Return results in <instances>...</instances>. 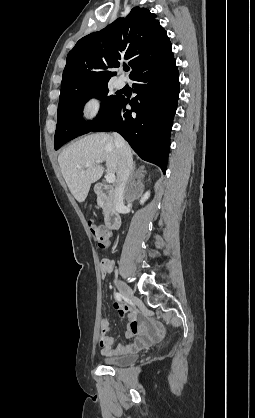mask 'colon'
I'll return each mask as SVG.
<instances>
[{
  "instance_id": "5ec220e1",
  "label": "colon",
  "mask_w": 255,
  "mask_h": 418,
  "mask_svg": "<svg viewBox=\"0 0 255 418\" xmlns=\"http://www.w3.org/2000/svg\"><path fill=\"white\" fill-rule=\"evenodd\" d=\"M89 226L96 244L102 249L108 248L110 244V233L92 221H89Z\"/></svg>"
}]
</instances>
